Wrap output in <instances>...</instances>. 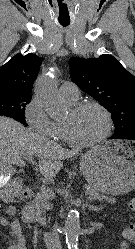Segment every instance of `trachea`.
<instances>
[{
    "label": "trachea",
    "instance_id": "obj_1",
    "mask_svg": "<svg viewBox=\"0 0 135 249\" xmlns=\"http://www.w3.org/2000/svg\"><path fill=\"white\" fill-rule=\"evenodd\" d=\"M62 26H68L69 25V23H60Z\"/></svg>",
    "mask_w": 135,
    "mask_h": 249
}]
</instances>
